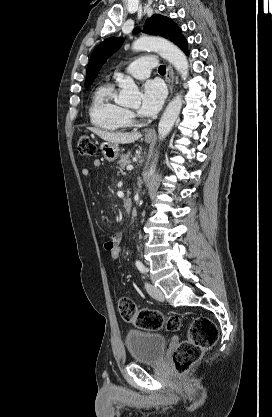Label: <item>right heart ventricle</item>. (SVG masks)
Segmentation results:
<instances>
[{"mask_svg": "<svg viewBox=\"0 0 272 417\" xmlns=\"http://www.w3.org/2000/svg\"><path fill=\"white\" fill-rule=\"evenodd\" d=\"M126 112L116 99V91L112 83H104L96 89L89 110L93 125L106 131L123 130L129 125Z\"/></svg>", "mask_w": 272, "mask_h": 417, "instance_id": "obj_1", "label": "right heart ventricle"}]
</instances>
